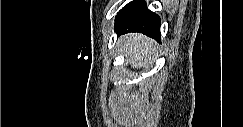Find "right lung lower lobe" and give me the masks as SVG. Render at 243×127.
<instances>
[{
  "instance_id": "98d812e1",
  "label": "right lung lower lobe",
  "mask_w": 243,
  "mask_h": 127,
  "mask_svg": "<svg viewBox=\"0 0 243 127\" xmlns=\"http://www.w3.org/2000/svg\"><path fill=\"white\" fill-rule=\"evenodd\" d=\"M160 24V17L147 9L144 0H135L119 11L115 19V31L118 34L139 32L160 42Z\"/></svg>"
}]
</instances>
